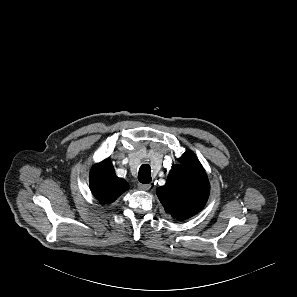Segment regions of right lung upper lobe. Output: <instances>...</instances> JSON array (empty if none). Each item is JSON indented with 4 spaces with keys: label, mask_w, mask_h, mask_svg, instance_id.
<instances>
[{
    "label": "right lung upper lobe",
    "mask_w": 297,
    "mask_h": 297,
    "mask_svg": "<svg viewBox=\"0 0 297 297\" xmlns=\"http://www.w3.org/2000/svg\"><path fill=\"white\" fill-rule=\"evenodd\" d=\"M89 179L93 195L102 203L114 202L129 188L124 179L116 176L109 159L94 165Z\"/></svg>",
    "instance_id": "cb5924a9"
}]
</instances>
